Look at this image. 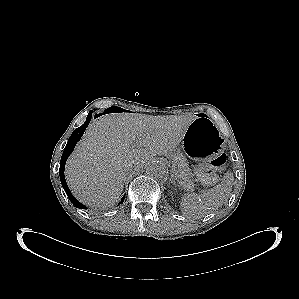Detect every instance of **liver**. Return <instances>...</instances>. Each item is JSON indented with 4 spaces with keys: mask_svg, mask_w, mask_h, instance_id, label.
<instances>
[{
    "mask_svg": "<svg viewBox=\"0 0 299 299\" xmlns=\"http://www.w3.org/2000/svg\"><path fill=\"white\" fill-rule=\"evenodd\" d=\"M194 118L114 113L93 120L66 163L70 190L88 206H113L130 167L141 169L154 156L175 150Z\"/></svg>",
    "mask_w": 299,
    "mask_h": 299,
    "instance_id": "1",
    "label": "liver"
}]
</instances>
